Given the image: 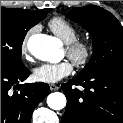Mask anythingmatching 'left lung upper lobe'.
Segmentation results:
<instances>
[{
  "instance_id": "1",
  "label": "left lung upper lobe",
  "mask_w": 123,
  "mask_h": 123,
  "mask_svg": "<svg viewBox=\"0 0 123 123\" xmlns=\"http://www.w3.org/2000/svg\"><path fill=\"white\" fill-rule=\"evenodd\" d=\"M67 17L93 37V55L79 76H88L108 66H123V27L108 11L98 6L72 9Z\"/></svg>"
}]
</instances>
